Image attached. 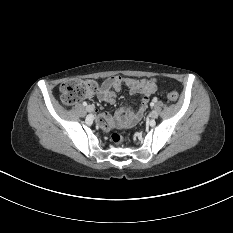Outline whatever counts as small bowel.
Segmentation results:
<instances>
[{"instance_id": "c3829d8e", "label": "small bowel", "mask_w": 233, "mask_h": 233, "mask_svg": "<svg viewBox=\"0 0 233 233\" xmlns=\"http://www.w3.org/2000/svg\"><path fill=\"white\" fill-rule=\"evenodd\" d=\"M123 86H126L131 95L140 94L141 100L136 110L131 108H120L117 113V119H125L129 122H135L141 119L143 116L149 97L156 91L155 79H133L122 76H114L107 78L101 85L98 97L100 100L114 104L116 102V93L121 90ZM99 125L107 130L114 124L113 118L107 113H101L98 115Z\"/></svg>"}]
</instances>
